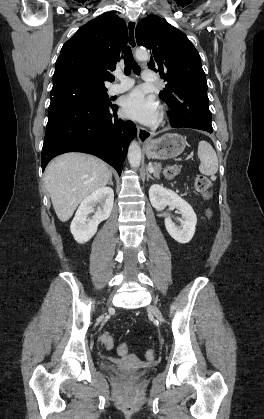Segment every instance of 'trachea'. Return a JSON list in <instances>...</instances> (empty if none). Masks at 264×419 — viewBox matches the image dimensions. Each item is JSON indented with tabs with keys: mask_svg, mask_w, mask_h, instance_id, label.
<instances>
[{
	"mask_svg": "<svg viewBox=\"0 0 264 419\" xmlns=\"http://www.w3.org/2000/svg\"><path fill=\"white\" fill-rule=\"evenodd\" d=\"M125 74L129 75L133 70L137 75L140 74L141 68L133 58L131 48L128 46L124 54Z\"/></svg>",
	"mask_w": 264,
	"mask_h": 419,
	"instance_id": "3493384b",
	"label": "trachea"
}]
</instances>
